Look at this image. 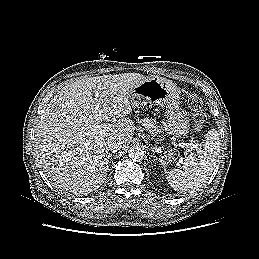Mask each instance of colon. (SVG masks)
<instances>
[{
  "mask_svg": "<svg viewBox=\"0 0 259 259\" xmlns=\"http://www.w3.org/2000/svg\"><path fill=\"white\" fill-rule=\"evenodd\" d=\"M186 103L192 111L193 124L195 129L199 130L206 122V114L203 110V102L196 94H189L186 98Z\"/></svg>",
  "mask_w": 259,
  "mask_h": 259,
  "instance_id": "colon-1",
  "label": "colon"
}]
</instances>
